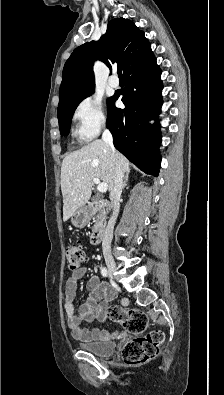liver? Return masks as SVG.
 Masks as SVG:
<instances>
[{"instance_id":"liver-1","label":"liver","mask_w":224,"mask_h":395,"mask_svg":"<svg viewBox=\"0 0 224 395\" xmlns=\"http://www.w3.org/2000/svg\"><path fill=\"white\" fill-rule=\"evenodd\" d=\"M129 174L130 162L113 151L103 140L96 139L81 149L68 154L61 166V191L63 196V221L83 207L91 197L93 179L107 184L110 192L114 185L115 165Z\"/></svg>"}]
</instances>
